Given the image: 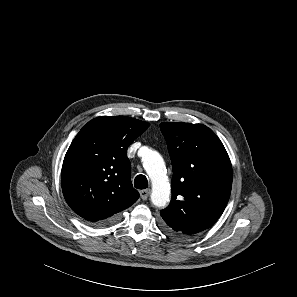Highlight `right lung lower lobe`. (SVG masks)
<instances>
[{"label": "right lung lower lobe", "mask_w": 297, "mask_h": 297, "mask_svg": "<svg viewBox=\"0 0 297 297\" xmlns=\"http://www.w3.org/2000/svg\"><path fill=\"white\" fill-rule=\"evenodd\" d=\"M118 219V215L110 218V219H107V220H103V221H100V222H97L95 223L98 227H105V226H109V225H112L114 224Z\"/></svg>", "instance_id": "1"}]
</instances>
